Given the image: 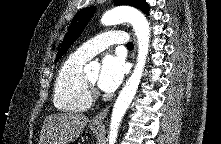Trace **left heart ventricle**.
<instances>
[{
    "mask_svg": "<svg viewBox=\"0 0 221 144\" xmlns=\"http://www.w3.org/2000/svg\"><path fill=\"white\" fill-rule=\"evenodd\" d=\"M98 72H94V73H91V74H88L87 77L90 81H92L93 83H95L98 79Z\"/></svg>",
    "mask_w": 221,
    "mask_h": 144,
    "instance_id": "1",
    "label": "left heart ventricle"
}]
</instances>
